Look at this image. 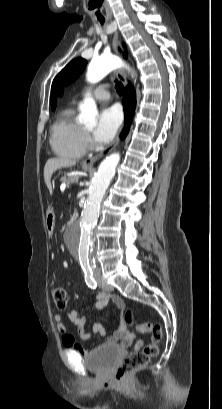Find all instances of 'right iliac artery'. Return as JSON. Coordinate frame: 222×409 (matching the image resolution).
<instances>
[{"label":"right iliac artery","mask_w":222,"mask_h":409,"mask_svg":"<svg viewBox=\"0 0 222 409\" xmlns=\"http://www.w3.org/2000/svg\"><path fill=\"white\" fill-rule=\"evenodd\" d=\"M85 282L88 287L95 289L97 287V282L93 278V273H85Z\"/></svg>","instance_id":"right-iliac-artery-1"}]
</instances>
